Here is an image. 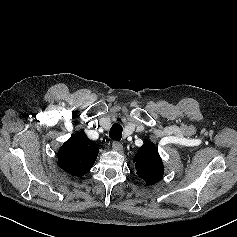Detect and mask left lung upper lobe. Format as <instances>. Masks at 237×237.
<instances>
[{
  "mask_svg": "<svg viewBox=\"0 0 237 237\" xmlns=\"http://www.w3.org/2000/svg\"><path fill=\"white\" fill-rule=\"evenodd\" d=\"M134 162L137 175L147 185L157 183L161 180L164 167L157 148L151 142H147L139 148L134 157Z\"/></svg>",
  "mask_w": 237,
  "mask_h": 237,
  "instance_id": "obj_1",
  "label": "left lung upper lobe"
}]
</instances>
